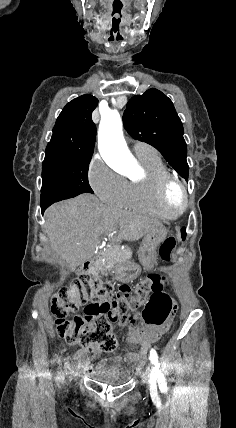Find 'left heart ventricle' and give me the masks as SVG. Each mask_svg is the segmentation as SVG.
<instances>
[{
  "instance_id": "1",
  "label": "left heart ventricle",
  "mask_w": 236,
  "mask_h": 428,
  "mask_svg": "<svg viewBox=\"0 0 236 428\" xmlns=\"http://www.w3.org/2000/svg\"><path fill=\"white\" fill-rule=\"evenodd\" d=\"M169 196H170V199L174 203H180V201H181V192H180V190H179L178 187H176V186L172 187L170 189Z\"/></svg>"
}]
</instances>
